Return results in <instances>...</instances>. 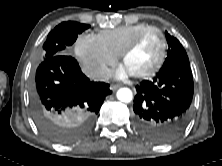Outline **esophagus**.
<instances>
[{
    "mask_svg": "<svg viewBox=\"0 0 222 166\" xmlns=\"http://www.w3.org/2000/svg\"><path fill=\"white\" fill-rule=\"evenodd\" d=\"M119 87H120L119 85L112 84V85L110 86V89H111L112 91H116Z\"/></svg>",
    "mask_w": 222,
    "mask_h": 166,
    "instance_id": "obj_1",
    "label": "esophagus"
}]
</instances>
